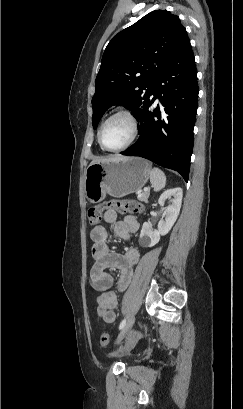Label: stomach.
I'll list each match as a JSON object with an SVG mask.
<instances>
[{"label": "stomach", "instance_id": "obj_1", "mask_svg": "<svg viewBox=\"0 0 243 409\" xmlns=\"http://www.w3.org/2000/svg\"><path fill=\"white\" fill-rule=\"evenodd\" d=\"M150 172V164L138 157L92 162L85 172V197L90 203H99L107 194L121 198L138 192L146 184Z\"/></svg>", "mask_w": 243, "mask_h": 409}]
</instances>
